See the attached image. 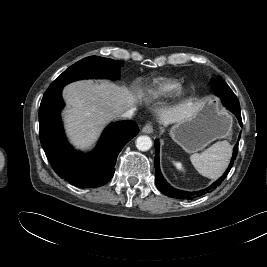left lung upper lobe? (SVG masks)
Returning <instances> with one entry per match:
<instances>
[{"mask_svg":"<svg viewBox=\"0 0 267 267\" xmlns=\"http://www.w3.org/2000/svg\"><path fill=\"white\" fill-rule=\"evenodd\" d=\"M215 94L220 97L223 93L231 91L230 87L225 83V81L218 77L217 79H212L211 81Z\"/></svg>","mask_w":267,"mask_h":267,"instance_id":"5c2ea615","label":"left lung upper lobe"}]
</instances>
